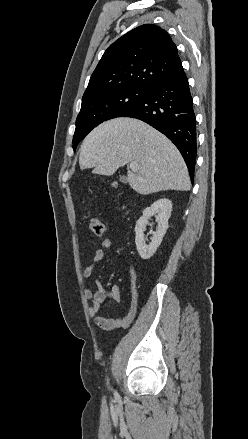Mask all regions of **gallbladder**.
Segmentation results:
<instances>
[{
  "instance_id": "bac80fb5",
  "label": "gallbladder",
  "mask_w": 248,
  "mask_h": 439,
  "mask_svg": "<svg viewBox=\"0 0 248 439\" xmlns=\"http://www.w3.org/2000/svg\"><path fill=\"white\" fill-rule=\"evenodd\" d=\"M120 180H121L122 182H126V178H125L124 176H120Z\"/></svg>"
}]
</instances>
